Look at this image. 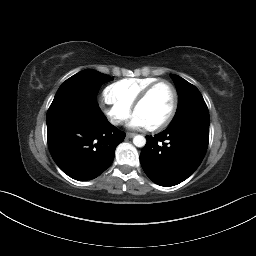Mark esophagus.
<instances>
[{"mask_svg":"<svg viewBox=\"0 0 256 256\" xmlns=\"http://www.w3.org/2000/svg\"><path fill=\"white\" fill-rule=\"evenodd\" d=\"M135 136V133H127L126 134V137L127 138H132V137H134Z\"/></svg>","mask_w":256,"mask_h":256,"instance_id":"1","label":"esophagus"}]
</instances>
